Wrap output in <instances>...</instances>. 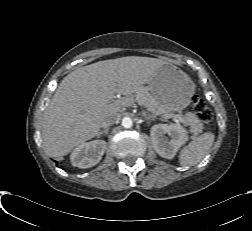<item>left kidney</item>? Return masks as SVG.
<instances>
[{
    "mask_svg": "<svg viewBox=\"0 0 252 231\" xmlns=\"http://www.w3.org/2000/svg\"><path fill=\"white\" fill-rule=\"evenodd\" d=\"M150 136L155 151L166 159H172L188 140L186 129L177 124H156L152 126Z\"/></svg>",
    "mask_w": 252,
    "mask_h": 231,
    "instance_id": "obj_1",
    "label": "left kidney"
}]
</instances>
